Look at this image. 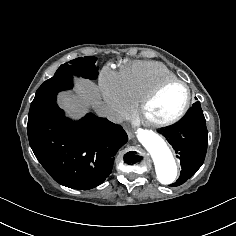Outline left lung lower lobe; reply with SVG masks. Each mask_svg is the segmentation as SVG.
<instances>
[{
	"label": "left lung lower lobe",
	"mask_w": 236,
	"mask_h": 236,
	"mask_svg": "<svg viewBox=\"0 0 236 236\" xmlns=\"http://www.w3.org/2000/svg\"><path fill=\"white\" fill-rule=\"evenodd\" d=\"M158 132L172 145L180 159V177L171 185L180 186L201 167L207 151L208 131L200 103H194L178 124Z\"/></svg>",
	"instance_id": "obj_1"
}]
</instances>
